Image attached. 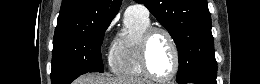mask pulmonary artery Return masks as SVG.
I'll return each instance as SVG.
<instances>
[{
  "instance_id": "e3ab8cb5",
  "label": "pulmonary artery",
  "mask_w": 260,
  "mask_h": 84,
  "mask_svg": "<svg viewBox=\"0 0 260 84\" xmlns=\"http://www.w3.org/2000/svg\"><path fill=\"white\" fill-rule=\"evenodd\" d=\"M138 12L140 14H142L145 17H149V11L146 7L142 6V5H131L127 8L126 12Z\"/></svg>"
}]
</instances>
